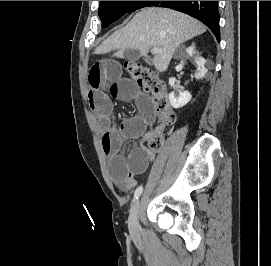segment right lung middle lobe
<instances>
[{
    "instance_id": "dd1d6c3e",
    "label": "right lung middle lobe",
    "mask_w": 271,
    "mask_h": 266,
    "mask_svg": "<svg viewBox=\"0 0 271 266\" xmlns=\"http://www.w3.org/2000/svg\"><path fill=\"white\" fill-rule=\"evenodd\" d=\"M152 3L153 1H100L98 15L102 27L109 26L126 13L150 6Z\"/></svg>"
}]
</instances>
